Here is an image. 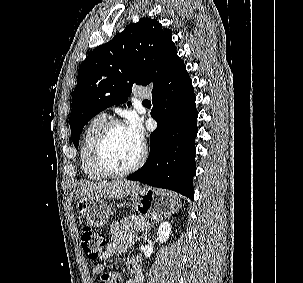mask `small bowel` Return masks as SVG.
<instances>
[{
	"label": "small bowel",
	"instance_id": "small-bowel-1",
	"mask_svg": "<svg viewBox=\"0 0 303 283\" xmlns=\"http://www.w3.org/2000/svg\"><path fill=\"white\" fill-rule=\"evenodd\" d=\"M113 241L110 242L106 249L101 253L102 261L110 260L111 258L126 252L134 245V238L131 234L124 232L118 223L112 226ZM131 265L134 271V277L126 283H141L143 273L140 263L136 258H132ZM102 264H97L92 269V275L97 276L103 271ZM118 283H122L121 278L117 276Z\"/></svg>",
	"mask_w": 303,
	"mask_h": 283
}]
</instances>
